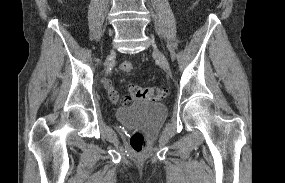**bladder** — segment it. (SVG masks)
<instances>
[{
	"label": "bladder",
	"mask_w": 285,
	"mask_h": 183,
	"mask_svg": "<svg viewBox=\"0 0 285 183\" xmlns=\"http://www.w3.org/2000/svg\"><path fill=\"white\" fill-rule=\"evenodd\" d=\"M167 117L163 104L154 102H139L122 106L116 110V118L123 123H133L146 131L158 129Z\"/></svg>",
	"instance_id": "bladder-1"
}]
</instances>
